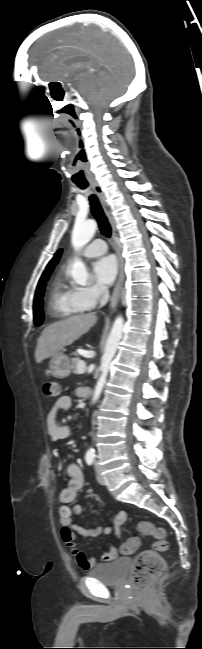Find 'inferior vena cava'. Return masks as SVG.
Here are the masks:
<instances>
[{"label": "inferior vena cava", "mask_w": 202, "mask_h": 649, "mask_svg": "<svg viewBox=\"0 0 202 649\" xmlns=\"http://www.w3.org/2000/svg\"><path fill=\"white\" fill-rule=\"evenodd\" d=\"M99 294H100V307H103L109 300V290L106 286L99 285L98 286Z\"/></svg>", "instance_id": "1"}]
</instances>
